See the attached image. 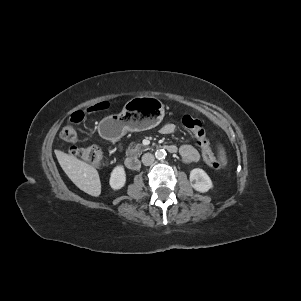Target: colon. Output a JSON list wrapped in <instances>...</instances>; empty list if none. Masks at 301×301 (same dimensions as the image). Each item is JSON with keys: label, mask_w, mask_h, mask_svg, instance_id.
<instances>
[{"label": "colon", "mask_w": 301, "mask_h": 301, "mask_svg": "<svg viewBox=\"0 0 301 301\" xmlns=\"http://www.w3.org/2000/svg\"><path fill=\"white\" fill-rule=\"evenodd\" d=\"M107 107V102H99L90 106L86 110V112L94 113L100 110H104ZM162 111L171 118H174L176 116V113L167 106H164L162 108ZM84 118V111H76L72 113L69 117V120L63 126L60 136L64 141L72 144L70 148V153L72 155L81 158L94 167H103L106 165L107 161L104 151L100 146L90 145L86 147H78L76 145V143L78 142L77 126L84 120ZM182 124L185 128L193 133L196 139V144L201 150L204 161L212 168L219 169L221 167V163L216 159L211 151L202 122L197 118L186 115L182 118Z\"/></svg>", "instance_id": "5ec220e1"}]
</instances>
